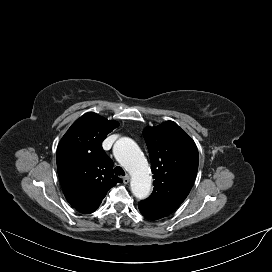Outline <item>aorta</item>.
<instances>
[{"instance_id": "762f6f07", "label": "aorta", "mask_w": 272, "mask_h": 272, "mask_svg": "<svg viewBox=\"0 0 272 272\" xmlns=\"http://www.w3.org/2000/svg\"><path fill=\"white\" fill-rule=\"evenodd\" d=\"M116 160L131 174V191L138 199L148 197L151 177L148 163L139 146L130 138L123 137L113 147Z\"/></svg>"}]
</instances>
